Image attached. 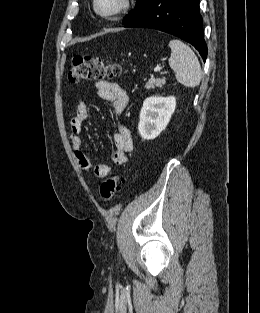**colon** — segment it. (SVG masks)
<instances>
[{"label": "colon", "mask_w": 260, "mask_h": 313, "mask_svg": "<svg viewBox=\"0 0 260 313\" xmlns=\"http://www.w3.org/2000/svg\"><path fill=\"white\" fill-rule=\"evenodd\" d=\"M122 73V67L116 63H106L101 58L90 56H74L68 72L70 83H78L84 80H101L112 78ZM124 180V176L113 174L100 186L99 195L103 202L113 199L118 186Z\"/></svg>", "instance_id": "5ec220e1"}]
</instances>
